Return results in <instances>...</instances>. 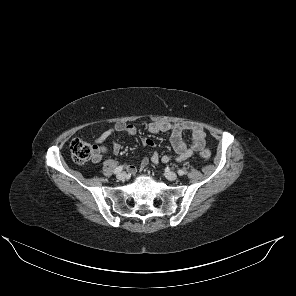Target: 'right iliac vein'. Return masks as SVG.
I'll return each mask as SVG.
<instances>
[{
	"mask_svg": "<svg viewBox=\"0 0 296 296\" xmlns=\"http://www.w3.org/2000/svg\"><path fill=\"white\" fill-rule=\"evenodd\" d=\"M126 178V173L125 172H120L118 175H117V179L118 180H124Z\"/></svg>",
	"mask_w": 296,
	"mask_h": 296,
	"instance_id": "1",
	"label": "right iliac vein"
}]
</instances>
